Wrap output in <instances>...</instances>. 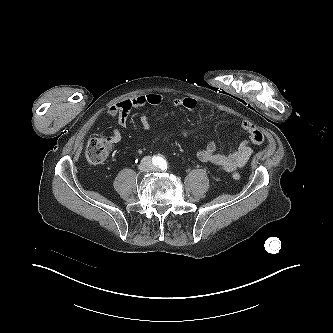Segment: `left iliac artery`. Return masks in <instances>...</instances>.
Masks as SVG:
<instances>
[{"instance_id":"obj_1","label":"left iliac artery","mask_w":333,"mask_h":333,"mask_svg":"<svg viewBox=\"0 0 333 333\" xmlns=\"http://www.w3.org/2000/svg\"><path fill=\"white\" fill-rule=\"evenodd\" d=\"M159 167H160L161 170H167L168 165H167L166 160L162 159Z\"/></svg>"}]
</instances>
